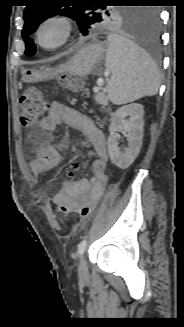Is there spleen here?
I'll list each match as a JSON object with an SVG mask.
<instances>
[{
  "mask_svg": "<svg viewBox=\"0 0 184 327\" xmlns=\"http://www.w3.org/2000/svg\"><path fill=\"white\" fill-rule=\"evenodd\" d=\"M105 67L111 73L106 89L113 104L129 103L158 92L160 75L155 63L125 37L108 35Z\"/></svg>",
  "mask_w": 184,
  "mask_h": 327,
  "instance_id": "spleen-1",
  "label": "spleen"
}]
</instances>
